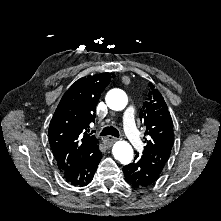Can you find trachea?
Returning a JSON list of instances; mask_svg holds the SVG:
<instances>
[{
    "label": "trachea",
    "mask_w": 221,
    "mask_h": 221,
    "mask_svg": "<svg viewBox=\"0 0 221 221\" xmlns=\"http://www.w3.org/2000/svg\"><path fill=\"white\" fill-rule=\"evenodd\" d=\"M107 135H112L114 137L119 138V132L116 128L112 126L105 127L102 132L100 133V136H107Z\"/></svg>",
    "instance_id": "1"
}]
</instances>
